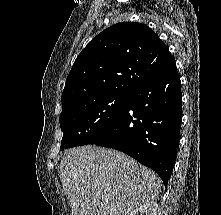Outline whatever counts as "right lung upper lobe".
<instances>
[{"label":"right lung upper lobe","mask_w":221,"mask_h":215,"mask_svg":"<svg viewBox=\"0 0 221 215\" xmlns=\"http://www.w3.org/2000/svg\"><path fill=\"white\" fill-rule=\"evenodd\" d=\"M173 61L147 25L117 23L94 37L76 58L66 79L62 107L104 94H129Z\"/></svg>","instance_id":"obj_1"}]
</instances>
